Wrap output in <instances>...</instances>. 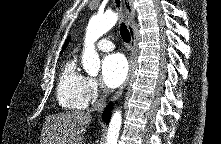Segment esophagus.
I'll return each instance as SVG.
<instances>
[{
    "label": "esophagus",
    "instance_id": "34e87169",
    "mask_svg": "<svg viewBox=\"0 0 221 144\" xmlns=\"http://www.w3.org/2000/svg\"><path fill=\"white\" fill-rule=\"evenodd\" d=\"M125 12H126V24L131 36V55L129 59V71L126 77V80L119 88V90L114 94L112 97V101L117 100L121 94L123 93L124 89L128 85L130 80L133 67H134V60H135V46H136V38H135V29H134V16H135V9L133 7V0H123Z\"/></svg>",
    "mask_w": 221,
    "mask_h": 144
}]
</instances>
